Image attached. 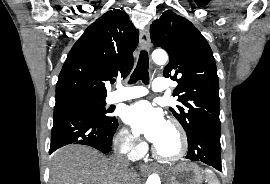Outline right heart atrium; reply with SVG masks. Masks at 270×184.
I'll return each mask as SVG.
<instances>
[{"label": "right heart atrium", "mask_w": 270, "mask_h": 184, "mask_svg": "<svg viewBox=\"0 0 270 184\" xmlns=\"http://www.w3.org/2000/svg\"><path fill=\"white\" fill-rule=\"evenodd\" d=\"M116 143L121 152L129 158H137L144 153L145 145L140 142L127 128L119 131Z\"/></svg>", "instance_id": "d8ad5b80"}]
</instances>
